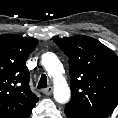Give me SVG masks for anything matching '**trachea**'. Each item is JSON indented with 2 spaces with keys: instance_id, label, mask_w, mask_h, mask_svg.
Returning a JSON list of instances; mask_svg holds the SVG:
<instances>
[{
  "instance_id": "3493384b",
  "label": "trachea",
  "mask_w": 118,
  "mask_h": 118,
  "mask_svg": "<svg viewBox=\"0 0 118 118\" xmlns=\"http://www.w3.org/2000/svg\"><path fill=\"white\" fill-rule=\"evenodd\" d=\"M46 87H47V76L45 74H42L37 88H46Z\"/></svg>"
}]
</instances>
